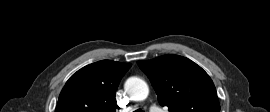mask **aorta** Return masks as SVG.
<instances>
[{"mask_svg":"<svg viewBox=\"0 0 270 112\" xmlns=\"http://www.w3.org/2000/svg\"><path fill=\"white\" fill-rule=\"evenodd\" d=\"M125 90L135 101L146 99L149 93L147 83L139 77L129 78L125 83Z\"/></svg>","mask_w":270,"mask_h":112,"instance_id":"1","label":"aorta"}]
</instances>
